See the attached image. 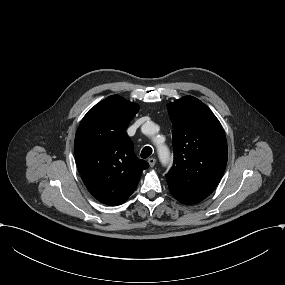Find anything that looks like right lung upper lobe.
<instances>
[{
	"label": "right lung upper lobe",
	"instance_id": "cb5924a9",
	"mask_svg": "<svg viewBox=\"0 0 285 285\" xmlns=\"http://www.w3.org/2000/svg\"><path fill=\"white\" fill-rule=\"evenodd\" d=\"M139 106L118 95L99 102L84 116L75 136V159L86 187L100 202L116 206L135 191L149 164L136 157L126 133Z\"/></svg>",
	"mask_w": 285,
	"mask_h": 285
}]
</instances>
